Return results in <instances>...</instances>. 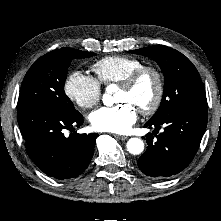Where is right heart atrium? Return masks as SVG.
Wrapping results in <instances>:
<instances>
[{
    "label": "right heart atrium",
    "mask_w": 221,
    "mask_h": 221,
    "mask_svg": "<svg viewBox=\"0 0 221 221\" xmlns=\"http://www.w3.org/2000/svg\"><path fill=\"white\" fill-rule=\"evenodd\" d=\"M64 91L82 109L94 107L102 96V87L97 79L81 71H73L67 76Z\"/></svg>",
    "instance_id": "right-heart-atrium-1"
}]
</instances>
